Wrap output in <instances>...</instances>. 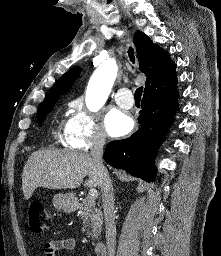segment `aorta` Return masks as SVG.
I'll return each instance as SVG.
<instances>
[{
	"label": "aorta",
	"mask_w": 221,
	"mask_h": 256,
	"mask_svg": "<svg viewBox=\"0 0 221 256\" xmlns=\"http://www.w3.org/2000/svg\"><path fill=\"white\" fill-rule=\"evenodd\" d=\"M118 67L113 61L102 63L91 76L86 91V106L98 111L106 102L117 76Z\"/></svg>",
	"instance_id": "762f6f07"
}]
</instances>
